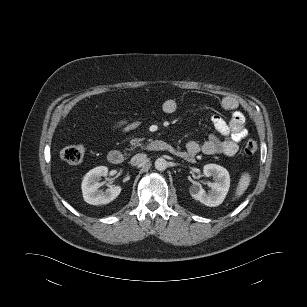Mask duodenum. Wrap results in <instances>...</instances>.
I'll list each match as a JSON object with an SVG mask.
<instances>
[{
	"mask_svg": "<svg viewBox=\"0 0 307 307\" xmlns=\"http://www.w3.org/2000/svg\"><path fill=\"white\" fill-rule=\"evenodd\" d=\"M145 149L149 151L155 152H173L174 148L166 141L163 140H153L150 141L145 145ZM107 159L109 163L112 165H121L124 161L123 154L118 150H111L108 155Z\"/></svg>",
	"mask_w": 307,
	"mask_h": 307,
	"instance_id": "1",
	"label": "duodenum"
}]
</instances>
